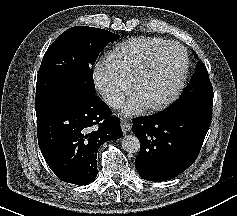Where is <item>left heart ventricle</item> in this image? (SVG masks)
I'll return each instance as SVG.
<instances>
[{
  "label": "left heart ventricle",
  "instance_id": "left-heart-ventricle-1",
  "mask_svg": "<svg viewBox=\"0 0 237 216\" xmlns=\"http://www.w3.org/2000/svg\"><path fill=\"white\" fill-rule=\"evenodd\" d=\"M181 63H168L150 74H143L138 84L137 96L151 101L164 97L175 85Z\"/></svg>",
  "mask_w": 237,
  "mask_h": 216
}]
</instances>
